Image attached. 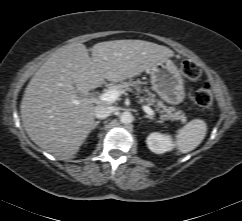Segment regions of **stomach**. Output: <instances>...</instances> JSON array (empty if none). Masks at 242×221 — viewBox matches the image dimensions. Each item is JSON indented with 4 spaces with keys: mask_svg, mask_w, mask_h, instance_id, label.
<instances>
[{
    "mask_svg": "<svg viewBox=\"0 0 242 221\" xmlns=\"http://www.w3.org/2000/svg\"><path fill=\"white\" fill-rule=\"evenodd\" d=\"M152 89L168 104L178 105L185 97L184 80L175 65L169 59L155 64L148 70Z\"/></svg>",
    "mask_w": 242,
    "mask_h": 221,
    "instance_id": "1",
    "label": "stomach"
}]
</instances>
